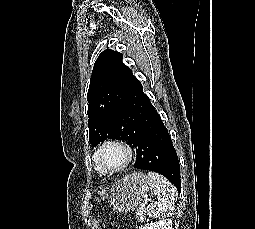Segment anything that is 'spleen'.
<instances>
[{"mask_svg":"<svg viewBox=\"0 0 255 229\" xmlns=\"http://www.w3.org/2000/svg\"><path fill=\"white\" fill-rule=\"evenodd\" d=\"M151 193L155 200L147 207L149 216L161 218L168 216L174 210L176 189L165 177L155 172H148Z\"/></svg>","mask_w":255,"mask_h":229,"instance_id":"obj_1","label":"spleen"}]
</instances>
